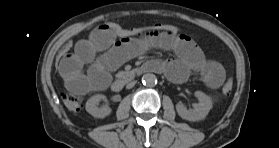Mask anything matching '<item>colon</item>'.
<instances>
[{"label": "colon", "mask_w": 279, "mask_h": 148, "mask_svg": "<svg viewBox=\"0 0 279 148\" xmlns=\"http://www.w3.org/2000/svg\"><path fill=\"white\" fill-rule=\"evenodd\" d=\"M105 28L109 29L115 36L118 38H132V37H139V36H146L152 35L159 32H168L172 34H181L183 33L178 26L172 24H163L157 23L150 26H139V27H131L126 28L123 27L115 22H107L103 24ZM73 49L72 42H67L60 50L57 62L59 63L61 58L69 53ZM233 90V80L228 79L223 88L222 93L224 96H229ZM63 102L66 108L70 112H78L82 107V98L77 95H64Z\"/></svg>", "instance_id": "colon-1"}]
</instances>
